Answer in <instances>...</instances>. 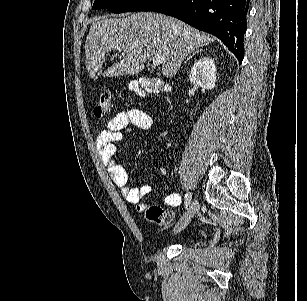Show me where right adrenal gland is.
<instances>
[{
  "label": "right adrenal gland",
  "mask_w": 307,
  "mask_h": 301,
  "mask_svg": "<svg viewBox=\"0 0 307 301\" xmlns=\"http://www.w3.org/2000/svg\"><path fill=\"white\" fill-rule=\"evenodd\" d=\"M203 50H205V48H199V50H195V52H192V54H190V56H187L185 62H187V60H190V58H192V56H194V54H198V52H203Z\"/></svg>",
  "instance_id": "right-adrenal-gland-1"
}]
</instances>
